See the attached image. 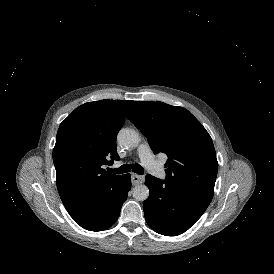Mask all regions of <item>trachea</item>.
Wrapping results in <instances>:
<instances>
[{
	"instance_id": "1",
	"label": "trachea",
	"mask_w": 274,
	"mask_h": 274,
	"mask_svg": "<svg viewBox=\"0 0 274 274\" xmlns=\"http://www.w3.org/2000/svg\"><path fill=\"white\" fill-rule=\"evenodd\" d=\"M133 171L137 174L142 175L144 173V169L139 165V164H124L119 168L116 169H110V172L115 173V174H122L126 172Z\"/></svg>"
}]
</instances>
